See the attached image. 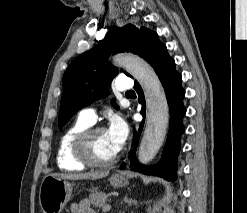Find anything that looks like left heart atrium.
<instances>
[{
  "instance_id": "left-heart-atrium-1",
  "label": "left heart atrium",
  "mask_w": 247,
  "mask_h": 213,
  "mask_svg": "<svg viewBox=\"0 0 247 213\" xmlns=\"http://www.w3.org/2000/svg\"><path fill=\"white\" fill-rule=\"evenodd\" d=\"M106 132L113 150L115 153H118L123 148L128 136L126 122L120 117H114L111 119Z\"/></svg>"
}]
</instances>
